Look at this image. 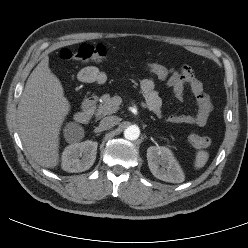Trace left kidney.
<instances>
[{"label":"left kidney","mask_w":248,"mask_h":248,"mask_svg":"<svg viewBox=\"0 0 248 248\" xmlns=\"http://www.w3.org/2000/svg\"><path fill=\"white\" fill-rule=\"evenodd\" d=\"M147 160L149 169L156 178L171 183L184 181V173L169 148L163 146L149 147Z\"/></svg>","instance_id":"obj_1"}]
</instances>
